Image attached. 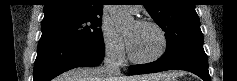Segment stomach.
Returning <instances> with one entry per match:
<instances>
[{"instance_id":"1","label":"stomach","mask_w":237,"mask_h":81,"mask_svg":"<svg viewBox=\"0 0 237 81\" xmlns=\"http://www.w3.org/2000/svg\"><path fill=\"white\" fill-rule=\"evenodd\" d=\"M152 81H171V80H169L167 78H157V79H154Z\"/></svg>"}]
</instances>
